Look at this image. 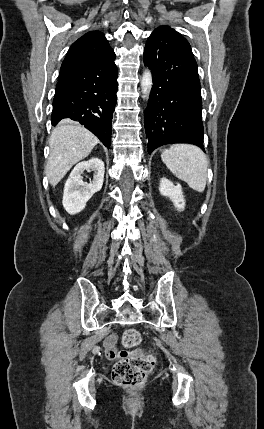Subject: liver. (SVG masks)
Listing matches in <instances>:
<instances>
[{
	"label": "liver",
	"instance_id": "1",
	"mask_svg": "<svg viewBox=\"0 0 264 429\" xmlns=\"http://www.w3.org/2000/svg\"><path fill=\"white\" fill-rule=\"evenodd\" d=\"M98 142V138L83 126L63 120L49 139L45 174L51 186L55 187L73 165L86 158Z\"/></svg>",
	"mask_w": 264,
	"mask_h": 429
}]
</instances>
